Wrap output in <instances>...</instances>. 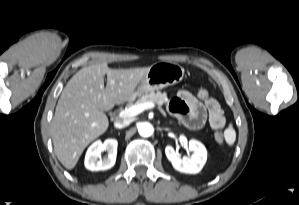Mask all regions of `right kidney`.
Masks as SVG:
<instances>
[{"label":"right kidney","instance_id":"1","mask_svg":"<svg viewBox=\"0 0 299 205\" xmlns=\"http://www.w3.org/2000/svg\"><path fill=\"white\" fill-rule=\"evenodd\" d=\"M117 145L118 142L115 139H106L103 143L100 140L94 142L86 152L85 167L91 171L107 170L113 167L116 162ZM103 151H107L108 156L103 160H98Z\"/></svg>","mask_w":299,"mask_h":205}]
</instances>
